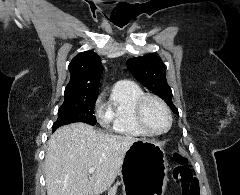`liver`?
Instances as JSON below:
<instances>
[{"instance_id":"liver-1","label":"liver","mask_w":240,"mask_h":195,"mask_svg":"<svg viewBox=\"0 0 240 195\" xmlns=\"http://www.w3.org/2000/svg\"><path fill=\"white\" fill-rule=\"evenodd\" d=\"M132 135H110L88 123H69L58 127L45 155L47 195H100L113 191L114 183ZM89 167H95L91 177Z\"/></svg>"}]
</instances>
